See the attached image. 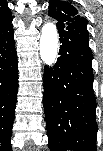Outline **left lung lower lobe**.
<instances>
[{
    "mask_svg": "<svg viewBox=\"0 0 103 151\" xmlns=\"http://www.w3.org/2000/svg\"><path fill=\"white\" fill-rule=\"evenodd\" d=\"M60 57L45 67L44 111L51 151H96V98L86 26L59 29Z\"/></svg>",
    "mask_w": 103,
    "mask_h": 151,
    "instance_id": "1",
    "label": "left lung lower lobe"
}]
</instances>
